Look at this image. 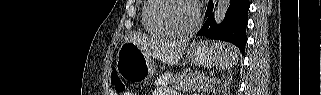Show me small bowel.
<instances>
[{
    "instance_id": "c3829d8e",
    "label": "small bowel",
    "mask_w": 321,
    "mask_h": 95,
    "mask_svg": "<svg viewBox=\"0 0 321 95\" xmlns=\"http://www.w3.org/2000/svg\"><path fill=\"white\" fill-rule=\"evenodd\" d=\"M126 95H132L131 93H126ZM155 95H168V93L157 92Z\"/></svg>"
}]
</instances>
